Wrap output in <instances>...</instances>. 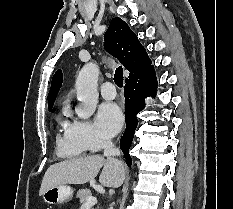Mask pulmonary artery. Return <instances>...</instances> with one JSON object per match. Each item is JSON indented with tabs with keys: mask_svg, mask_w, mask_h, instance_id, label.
<instances>
[{
	"mask_svg": "<svg viewBox=\"0 0 233 209\" xmlns=\"http://www.w3.org/2000/svg\"><path fill=\"white\" fill-rule=\"evenodd\" d=\"M100 93L105 99H114L116 96L115 86L111 82H105L100 87Z\"/></svg>",
	"mask_w": 233,
	"mask_h": 209,
	"instance_id": "1",
	"label": "pulmonary artery"
}]
</instances>
